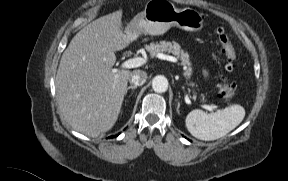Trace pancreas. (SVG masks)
<instances>
[{"label": "pancreas", "mask_w": 288, "mask_h": 181, "mask_svg": "<svg viewBox=\"0 0 288 181\" xmlns=\"http://www.w3.org/2000/svg\"><path fill=\"white\" fill-rule=\"evenodd\" d=\"M146 50L149 52L151 57L157 56L158 53L168 52L175 55L180 61L181 65L187 67L184 72V76L189 78L191 70V62L189 60V55L187 52L181 49L180 45L176 42L160 41L159 43H150V45L145 46Z\"/></svg>", "instance_id": "pancreas-1"}]
</instances>
